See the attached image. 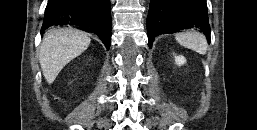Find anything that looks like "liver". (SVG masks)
<instances>
[{
  "label": "liver",
  "mask_w": 257,
  "mask_h": 130,
  "mask_svg": "<svg viewBox=\"0 0 257 130\" xmlns=\"http://www.w3.org/2000/svg\"><path fill=\"white\" fill-rule=\"evenodd\" d=\"M91 39L76 29H50L43 38L39 62L46 81L51 84L71 60L81 55Z\"/></svg>",
  "instance_id": "obj_1"
}]
</instances>
